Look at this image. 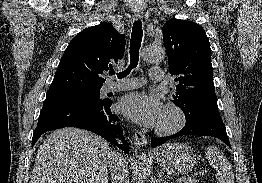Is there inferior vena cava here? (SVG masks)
I'll return each instance as SVG.
<instances>
[{
	"mask_svg": "<svg viewBox=\"0 0 262 183\" xmlns=\"http://www.w3.org/2000/svg\"><path fill=\"white\" fill-rule=\"evenodd\" d=\"M108 165L113 183H130L128 165L121 154L109 152Z\"/></svg>",
	"mask_w": 262,
	"mask_h": 183,
	"instance_id": "1",
	"label": "inferior vena cava"
}]
</instances>
